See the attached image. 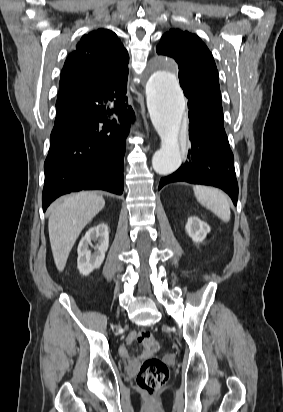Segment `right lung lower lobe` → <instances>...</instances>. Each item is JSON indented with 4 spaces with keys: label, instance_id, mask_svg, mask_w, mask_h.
Wrapping results in <instances>:
<instances>
[{
    "label": "right lung lower lobe",
    "instance_id": "1",
    "mask_svg": "<svg viewBox=\"0 0 283 412\" xmlns=\"http://www.w3.org/2000/svg\"><path fill=\"white\" fill-rule=\"evenodd\" d=\"M62 78H72L61 72ZM127 84L104 86L56 115L44 163L43 211L57 197L82 189L122 194L126 137L134 112Z\"/></svg>",
    "mask_w": 283,
    "mask_h": 412
}]
</instances>
